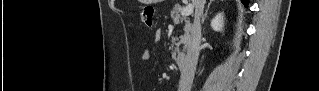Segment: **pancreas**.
<instances>
[{
    "mask_svg": "<svg viewBox=\"0 0 319 91\" xmlns=\"http://www.w3.org/2000/svg\"><path fill=\"white\" fill-rule=\"evenodd\" d=\"M182 11L181 6H175L173 10L171 11V18L173 19L175 24L185 23L184 27V35L180 37V41L178 37L172 38V58L177 61L181 62L184 58V52L186 49V45L188 43L189 37H190V31H191V24L189 19L186 16H180V13ZM181 46L182 49H181Z\"/></svg>",
    "mask_w": 319,
    "mask_h": 91,
    "instance_id": "cf45deb5",
    "label": "pancreas"
}]
</instances>
